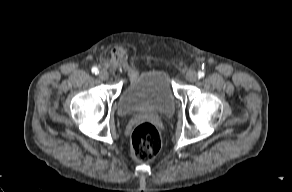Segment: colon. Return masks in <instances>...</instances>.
Returning <instances> with one entry per match:
<instances>
[{
	"mask_svg": "<svg viewBox=\"0 0 292 192\" xmlns=\"http://www.w3.org/2000/svg\"><path fill=\"white\" fill-rule=\"evenodd\" d=\"M132 156L136 162L152 160L161 149V136L158 129L149 122L138 124L131 135Z\"/></svg>",
	"mask_w": 292,
	"mask_h": 192,
	"instance_id": "5ec220e1",
	"label": "colon"
}]
</instances>
